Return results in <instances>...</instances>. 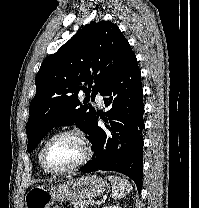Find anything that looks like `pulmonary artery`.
I'll use <instances>...</instances> for the list:
<instances>
[{
  "label": "pulmonary artery",
  "mask_w": 199,
  "mask_h": 208,
  "mask_svg": "<svg viewBox=\"0 0 199 208\" xmlns=\"http://www.w3.org/2000/svg\"><path fill=\"white\" fill-rule=\"evenodd\" d=\"M94 98H95V102L97 103L98 106H100V107L104 106V99L101 94H99V93L95 94Z\"/></svg>",
  "instance_id": "e3ab8cb5"
}]
</instances>
